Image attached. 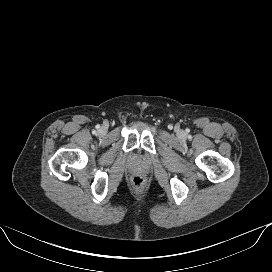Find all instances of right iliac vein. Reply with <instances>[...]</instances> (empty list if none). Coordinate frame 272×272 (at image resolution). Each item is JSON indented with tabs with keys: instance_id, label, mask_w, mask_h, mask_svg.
<instances>
[{
	"instance_id": "63e3f726",
	"label": "right iliac vein",
	"mask_w": 272,
	"mask_h": 272,
	"mask_svg": "<svg viewBox=\"0 0 272 272\" xmlns=\"http://www.w3.org/2000/svg\"><path fill=\"white\" fill-rule=\"evenodd\" d=\"M99 133L101 135H104L106 133V128L102 127L100 130H99Z\"/></svg>"
}]
</instances>
